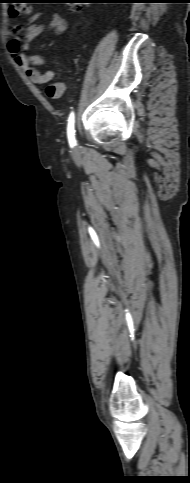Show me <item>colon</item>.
Listing matches in <instances>:
<instances>
[{"label":"colon","instance_id":"1","mask_svg":"<svg viewBox=\"0 0 190 483\" xmlns=\"http://www.w3.org/2000/svg\"><path fill=\"white\" fill-rule=\"evenodd\" d=\"M11 4L9 7V14L13 17H21L28 15L31 12V5L34 3L33 0H13L10 2ZM81 3V2H75ZM73 9L75 11H79L81 6L80 4H73Z\"/></svg>","mask_w":190,"mask_h":483}]
</instances>
